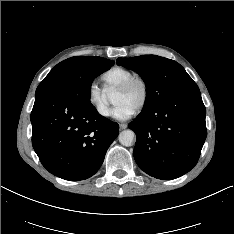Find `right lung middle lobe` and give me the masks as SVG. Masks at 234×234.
I'll return each mask as SVG.
<instances>
[{"label":"right lung middle lobe","instance_id":"right-lung-middle-lobe-1","mask_svg":"<svg viewBox=\"0 0 234 234\" xmlns=\"http://www.w3.org/2000/svg\"><path fill=\"white\" fill-rule=\"evenodd\" d=\"M113 63L108 59L90 60L76 56L57 64L36 89L35 95L63 93L84 104L90 103V86L93 79Z\"/></svg>","mask_w":234,"mask_h":234}]
</instances>
